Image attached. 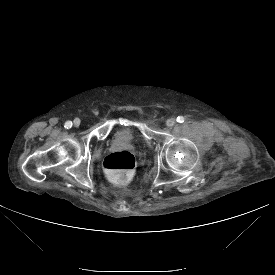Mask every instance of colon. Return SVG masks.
Masks as SVG:
<instances>
[{"instance_id": "obj_1", "label": "colon", "mask_w": 275, "mask_h": 275, "mask_svg": "<svg viewBox=\"0 0 275 275\" xmlns=\"http://www.w3.org/2000/svg\"><path fill=\"white\" fill-rule=\"evenodd\" d=\"M103 166L118 183H127L134 174L135 158L129 151H116L105 158Z\"/></svg>"}]
</instances>
